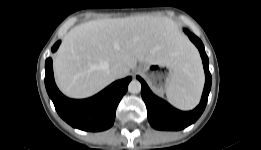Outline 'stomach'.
<instances>
[{
	"instance_id": "1",
	"label": "stomach",
	"mask_w": 261,
	"mask_h": 150,
	"mask_svg": "<svg viewBox=\"0 0 261 150\" xmlns=\"http://www.w3.org/2000/svg\"><path fill=\"white\" fill-rule=\"evenodd\" d=\"M139 69L148 80L151 87L158 93L166 91L167 85L176 75V72L171 68L159 64L144 63L140 65ZM165 69H167V71Z\"/></svg>"
}]
</instances>
